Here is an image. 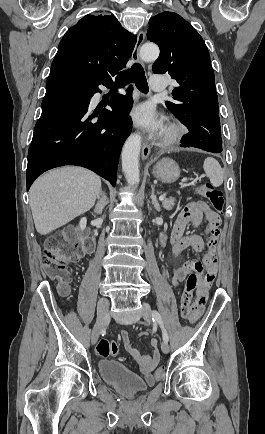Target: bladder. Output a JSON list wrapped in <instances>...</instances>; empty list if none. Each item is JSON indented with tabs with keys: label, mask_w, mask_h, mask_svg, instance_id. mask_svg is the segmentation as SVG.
I'll use <instances>...</instances> for the list:
<instances>
[{
	"label": "bladder",
	"mask_w": 265,
	"mask_h": 434,
	"mask_svg": "<svg viewBox=\"0 0 265 434\" xmlns=\"http://www.w3.org/2000/svg\"><path fill=\"white\" fill-rule=\"evenodd\" d=\"M98 371L102 379L118 392L133 396L147 388L146 383L124 364L115 360H101Z\"/></svg>",
	"instance_id": "1"
}]
</instances>
